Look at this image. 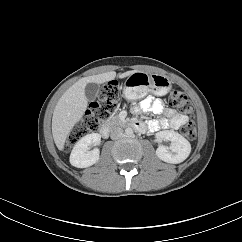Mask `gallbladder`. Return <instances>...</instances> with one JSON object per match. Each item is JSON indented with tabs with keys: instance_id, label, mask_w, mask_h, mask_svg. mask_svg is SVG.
<instances>
[{
	"instance_id": "obj_1",
	"label": "gallbladder",
	"mask_w": 242,
	"mask_h": 242,
	"mask_svg": "<svg viewBox=\"0 0 242 242\" xmlns=\"http://www.w3.org/2000/svg\"><path fill=\"white\" fill-rule=\"evenodd\" d=\"M99 92V86L95 83H88L85 87V93L88 100H94Z\"/></svg>"
}]
</instances>
